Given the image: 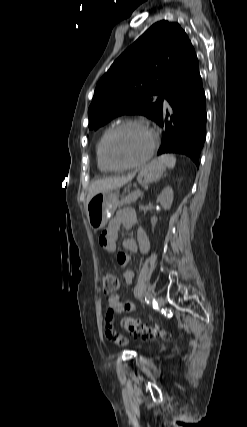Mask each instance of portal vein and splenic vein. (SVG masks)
Returning a JSON list of instances; mask_svg holds the SVG:
<instances>
[{"label": "portal vein and splenic vein", "mask_w": 247, "mask_h": 427, "mask_svg": "<svg viewBox=\"0 0 247 427\" xmlns=\"http://www.w3.org/2000/svg\"><path fill=\"white\" fill-rule=\"evenodd\" d=\"M139 194H143L141 191H139Z\"/></svg>", "instance_id": "1"}]
</instances>
